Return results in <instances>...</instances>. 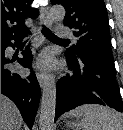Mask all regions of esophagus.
I'll use <instances>...</instances> for the list:
<instances>
[{"instance_id": "1", "label": "esophagus", "mask_w": 123, "mask_h": 130, "mask_svg": "<svg viewBox=\"0 0 123 130\" xmlns=\"http://www.w3.org/2000/svg\"><path fill=\"white\" fill-rule=\"evenodd\" d=\"M40 19L42 25H45L47 27H50L52 25V21L50 19L48 9L46 7H43L40 11ZM37 80L41 87L45 85L46 82V74L40 71L36 72Z\"/></svg>"}]
</instances>
